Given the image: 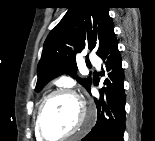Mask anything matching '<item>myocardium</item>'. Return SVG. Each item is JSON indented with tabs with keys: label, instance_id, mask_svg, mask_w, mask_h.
<instances>
[{
	"label": "myocardium",
	"instance_id": "obj_1",
	"mask_svg": "<svg viewBox=\"0 0 155 141\" xmlns=\"http://www.w3.org/2000/svg\"><path fill=\"white\" fill-rule=\"evenodd\" d=\"M56 95H67V96L72 97L78 103V105L81 107L82 113H83V119H82L81 123L79 124V126L77 128H75L73 131H71L59 138L50 139V138L46 137V135L42 129L41 117H42V113H43L46 103L49 101V99H51L52 97H54ZM92 119H93L92 112L87 107L85 100L79 94H77L75 91H73L72 89H69V88H57V89H54L51 92H49L41 100L38 111H37V115H36L35 129H36V132H37L39 138H42L44 140H66L71 137H74L75 135L79 134L80 132L85 131L88 127H90V125L92 123Z\"/></svg>",
	"mask_w": 155,
	"mask_h": 141
}]
</instances>
